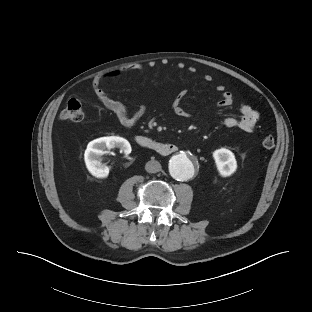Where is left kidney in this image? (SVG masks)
I'll return each instance as SVG.
<instances>
[{
  "instance_id": "1",
  "label": "left kidney",
  "mask_w": 312,
  "mask_h": 312,
  "mask_svg": "<svg viewBox=\"0 0 312 312\" xmlns=\"http://www.w3.org/2000/svg\"><path fill=\"white\" fill-rule=\"evenodd\" d=\"M217 170L223 177L232 175L237 169V162L234 154L225 148L217 149L213 152Z\"/></svg>"
}]
</instances>
